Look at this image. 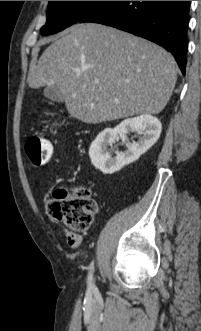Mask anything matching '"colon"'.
I'll list each match as a JSON object with an SVG mask.
<instances>
[{
    "label": "colon",
    "instance_id": "5ec220e1",
    "mask_svg": "<svg viewBox=\"0 0 201 331\" xmlns=\"http://www.w3.org/2000/svg\"><path fill=\"white\" fill-rule=\"evenodd\" d=\"M24 147L34 165H45L52 157L51 143L38 135L28 137ZM47 208L55 221L73 231H85L92 223L97 204L90 189L80 187L74 194H69L65 189L55 190L48 200Z\"/></svg>",
    "mask_w": 201,
    "mask_h": 331
}]
</instances>
